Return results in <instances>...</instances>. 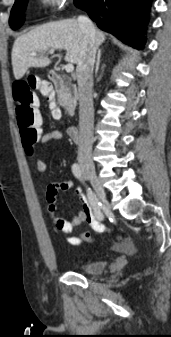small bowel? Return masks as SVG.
Masks as SVG:
<instances>
[{"instance_id":"obj_1","label":"small bowel","mask_w":171,"mask_h":337,"mask_svg":"<svg viewBox=\"0 0 171 337\" xmlns=\"http://www.w3.org/2000/svg\"><path fill=\"white\" fill-rule=\"evenodd\" d=\"M64 135L59 130H54L45 133L40 138V146L43 147L50 141L62 140ZM37 170L40 174L46 173L48 169L47 162L43 157H39L36 162ZM73 190L81 201L82 209L76 212L70 220L64 219L56 214L57 206L56 199L60 192H67ZM46 201L48 203L47 210L50 215L51 221L55 229L61 233L69 234L75 227L87 223L92 228V235H98L103 232L104 226L98 221L95 211L89 202L87 196L83 193L82 189L76 186L72 181L66 180L61 182H54L47 186ZM85 241V238L80 236H70L67 242L72 246H78Z\"/></svg>"}]
</instances>
